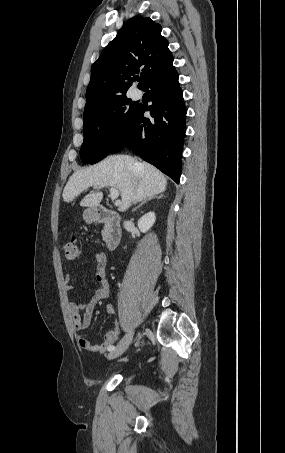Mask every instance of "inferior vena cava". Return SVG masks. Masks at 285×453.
I'll use <instances>...</instances> for the list:
<instances>
[{
	"label": "inferior vena cava",
	"mask_w": 285,
	"mask_h": 453,
	"mask_svg": "<svg viewBox=\"0 0 285 453\" xmlns=\"http://www.w3.org/2000/svg\"><path fill=\"white\" fill-rule=\"evenodd\" d=\"M138 165H139V163H136V166H138Z\"/></svg>",
	"instance_id": "inferior-vena-cava-1"
}]
</instances>
